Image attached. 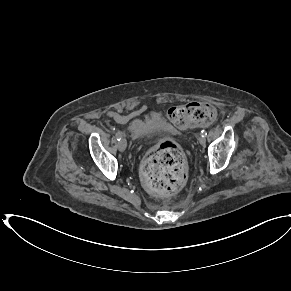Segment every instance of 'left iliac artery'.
Instances as JSON below:
<instances>
[{"label": "left iliac artery", "instance_id": "44dca946", "mask_svg": "<svg viewBox=\"0 0 291 291\" xmlns=\"http://www.w3.org/2000/svg\"><path fill=\"white\" fill-rule=\"evenodd\" d=\"M206 135H207L206 130H202V131H201V136L205 137Z\"/></svg>", "mask_w": 291, "mask_h": 291}]
</instances>
